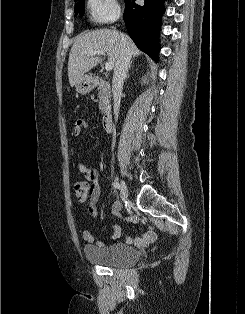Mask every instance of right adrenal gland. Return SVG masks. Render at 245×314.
Listing matches in <instances>:
<instances>
[{
  "label": "right adrenal gland",
  "mask_w": 245,
  "mask_h": 314,
  "mask_svg": "<svg viewBox=\"0 0 245 314\" xmlns=\"http://www.w3.org/2000/svg\"><path fill=\"white\" fill-rule=\"evenodd\" d=\"M130 67H131V63L129 64V67H128V69H127L125 79H127V78L129 77V73H128V72H129Z\"/></svg>",
  "instance_id": "1"
}]
</instances>
